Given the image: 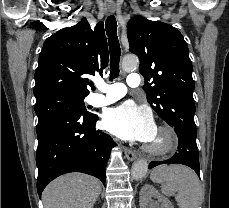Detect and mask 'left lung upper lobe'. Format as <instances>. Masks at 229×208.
<instances>
[{
  "instance_id": "left-lung-upper-lobe-1",
  "label": "left lung upper lobe",
  "mask_w": 229,
  "mask_h": 208,
  "mask_svg": "<svg viewBox=\"0 0 229 208\" xmlns=\"http://www.w3.org/2000/svg\"><path fill=\"white\" fill-rule=\"evenodd\" d=\"M127 35L129 50L140 59L148 103L171 127L196 131L193 67L179 30L137 15L128 22Z\"/></svg>"
}]
</instances>
